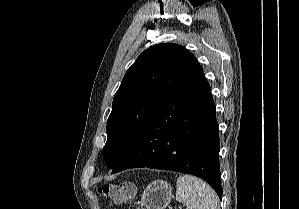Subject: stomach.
<instances>
[{"label": "stomach", "instance_id": "obj_1", "mask_svg": "<svg viewBox=\"0 0 299 209\" xmlns=\"http://www.w3.org/2000/svg\"><path fill=\"white\" fill-rule=\"evenodd\" d=\"M172 197L170 184L163 180H155L145 188L139 203L146 209H165Z\"/></svg>", "mask_w": 299, "mask_h": 209}]
</instances>
